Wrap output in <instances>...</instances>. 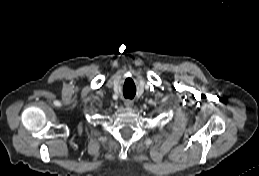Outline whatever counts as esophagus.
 I'll return each instance as SVG.
<instances>
[{
  "mask_svg": "<svg viewBox=\"0 0 259 176\" xmlns=\"http://www.w3.org/2000/svg\"><path fill=\"white\" fill-rule=\"evenodd\" d=\"M134 102L132 100H125L124 105L128 108H131L133 106Z\"/></svg>",
  "mask_w": 259,
  "mask_h": 176,
  "instance_id": "1",
  "label": "esophagus"
}]
</instances>
